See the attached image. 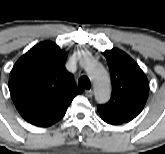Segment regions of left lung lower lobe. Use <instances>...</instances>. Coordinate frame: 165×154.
Returning <instances> with one entry per match:
<instances>
[{
  "mask_svg": "<svg viewBox=\"0 0 165 154\" xmlns=\"http://www.w3.org/2000/svg\"><path fill=\"white\" fill-rule=\"evenodd\" d=\"M104 121H105V120H104ZM105 122H107V123H109V124H112V125H118V124H121V123L110 122V121H105Z\"/></svg>",
  "mask_w": 165,
  "mask_h": 154,
  "instance_id": "0a47b994",
  "label": "left lung lower lobe"
}]
</instances>
